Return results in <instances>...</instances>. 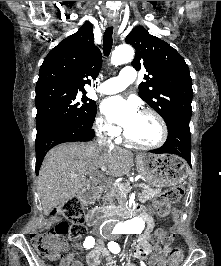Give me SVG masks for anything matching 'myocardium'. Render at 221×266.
Returning a JSON list of instances; mask_svg holds the SVG:
<instances>
[{
    "mask_svg": "<svg viewBox=\"0 0 221 266\" xmlns=\"http://www.w3.org/2000/svg\"><path fill=\"white\" fill-rule=\"evenodd\" d=\"M141 113L151 116L156 121V123L159 127V131H160L159 137L157 138L156 141H154L152 143L144 144V143H140V142L133 140L128 135L127 131L124 130L125 141L133 147H136L138 149H144V150L154 149V148L161 146L166 141V138L168 135V128H167V125H166L164 119L160 116V114H158L153 109L146 108V109H143L141 111Z\"/></svg>",
    "mask_w": 221,
    "mask_h": 266,
    "instance_id": "1",
    "label": "myocardium"
}]
</instances>
